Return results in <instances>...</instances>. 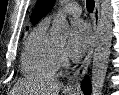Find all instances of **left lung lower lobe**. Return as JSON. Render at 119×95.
<instances>
[{
    "mask_svg": "<svg viewBox=\"0 0 119 95\" xmlns=\"http://www.w3.org/2000/svg\"><path fill=\"white\" fill-rule=\"evenodd\" d=\"M83 92L85 95H89L90 92H91V89H90V83H89V79H85L84 82L82 83V86H81Z\"/></svg>",
    "mask_w": 119,
    "mask_h": 95,
    "instance_id": "0a47b994",
    "label": "left lung lower lobe"
}]
</instances>
